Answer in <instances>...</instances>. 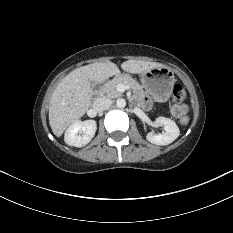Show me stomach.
Instances as JSON below:
<instances>
[{
    "label": "stomach",
    "instance_id": "obj_1",
    "mask_svg": "<svg viewBox=\"0 0 233 233\" xmlns=\"http://www.w3.org/2000/svg\"><path fill=\"white\" fill-rule=\"evenodd\" d=\"M141 82L154 100L165 102L172 95L175 76L167 67L153 68L141 74Z\"/></svg>",
    "mask_w": 233,
    "mask_h": 233
}]
</instances>
